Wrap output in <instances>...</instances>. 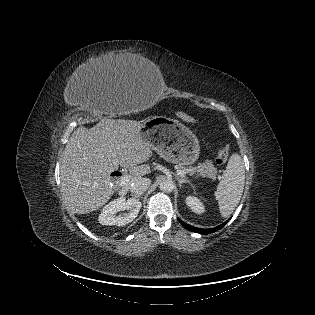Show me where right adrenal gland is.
I'll use <instances>...</instances> for the list:
<instances>
[{"label": "right adrenal gland", "mask_w": 315, "mask_h": 315, "mask_svg": "<svg viewBox=\"0 0 315 315\" xmlns=\"http://www.w3.org/2000/svg\"><path fill=\"white\" fill-rule=\"evenodd\" d=\"M132 196L135 197V198H138V199H140L142 197L141 194H139V195H132Z\"/></svg>", "instance_id": "1"}]
</instances>
